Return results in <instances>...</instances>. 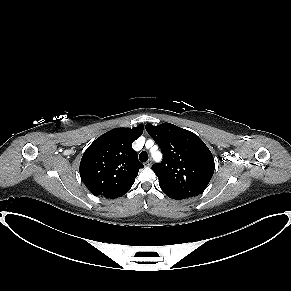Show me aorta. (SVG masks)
<instances>
[{
    "instance_id": "obj_1",
    "label": "aorta",
    "mask_w": 291,
    "mask_h": 291,
    "mask_svg": "<svg viewBox=\"0 0 291 291\" xmlns=\"http://www.w3.org/2000/svg\"><path fill=\"white\" fill-rule=\"evenodd\" d=\"M156 155H158V153H154V157H155Z\"/></svg>"
}]
</instances>
